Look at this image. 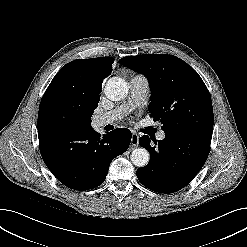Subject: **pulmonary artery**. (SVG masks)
Wrapping results in <instances>:
<instances>
[{
  "label": "pulmonary artery",
  "instance_id": "pulmonary-artery-1",
  "mask_svg": "<svg viewBox=\"0 0 247 247\" xmlns=\"http://www.w3.org/2000/svg\"><path fill=\"white\" fill-rule=\"evenodd\" d=\"M129 95L127 101L119 108L97 115L93 118L95 128H101L105 125L112 124L114 121L122 118L129 110L138 106L145 98L148 90V80L143 75H135L129 81ZM159 140L165 138V133L160 131L157 134Z\"/></svg>",
  "mask_w": 247,
  "mask_h": 247
}]
</instances>
